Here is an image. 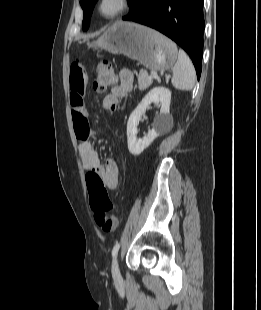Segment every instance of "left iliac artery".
Listing matches in <instances>:
<instances>
[{
    "mask_svg": "<svg viewBox=\"0 0 261 310\" xmlns=\"http://www.w3.org/2000/svg\"><path fill=\"white\" fill-rule=\"evenodd\" d=\"M120 243H116L112 250V256L115 257L119 251Z\"/></svg>",
    "mask_w": 261,
    "mask_h": 310,
    "instance_id": "44dca946",
    "label": "left iliac artery"
}]
</instances>
